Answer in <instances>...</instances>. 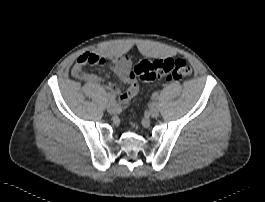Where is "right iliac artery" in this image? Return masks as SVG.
<instances>
[{"label": "right iliac artery", "mask_w": 265, "mask_h": 202, "mask_svg": "<svg viewBox=\"0 0 265 202\" xmlns=\"http://www.w3.org/2000/svg\"><path fill=\"white\" fill-rule=\"evenodd\" d=\"M107 97H108L109 102L113 101V97L110 94H108Z\"/></svg>", "instance_id": "1"}]
</instances>
